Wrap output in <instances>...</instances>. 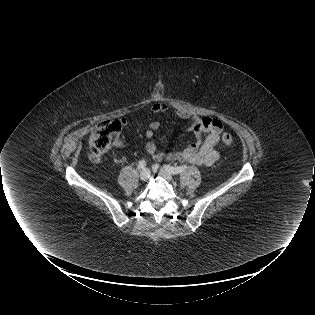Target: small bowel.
I'll return each instance as SVG.
<instances>
[{"mask_svg":"<svg viewBox=\"0 0 315 315\" xmlns=\"http://www.w3.org/2000/svg\"><path fill=\"white\" fill-rule=\"evenodd\" d=\"M168 110L169 107L163 102H157L151 106V112L154 114H164ZM176 115L188 123L186 131L193 133L195 142L189 144L182 151L168 153L159 151L151 139L160 129L161 124L158 120H153L145 132L146 138L149 139L145 145L146 152L158 162L177 161L207 167L212 166L220 157L216 147L223 128L221 121L210 117L202 118L183 109L177 110ZM119 122L121 126L128 124L126 118H121Z\"/></svg>","mask_w":315,"mask_h":315,"instance_id":"c3829d8e","label":"small bowel"}]
</instances>
